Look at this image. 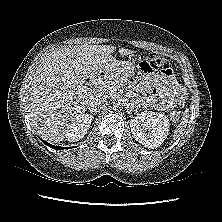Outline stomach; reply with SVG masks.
I'll use <instances>...</instances> for the list:
<instances>
[{
  "label": "stomach",
  "mask_w": 222,
  "mask_h": 222,
  "mask_svg": "<svg viewBox=\"0 0 222 222\" xmlns=\"http://www.w3.org/2000/svg\"><path fill=\"white\" fill-rule=\"evenodd\" d=\"M119 73L124 77H132L135 74V65L131 62H120Z\"/></svg>",
  "instance_id": "0dacf381"
}]
</instances>
